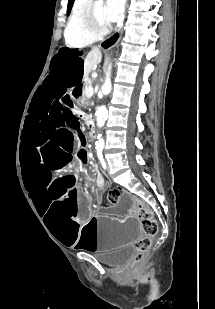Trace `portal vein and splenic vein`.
Wrapping results in <instances>:
<instances>
[{"instance_id":"18ae733b","label":"portal vein and splenic vein","mask_w":215,"mask_h":309,"mask_svg":"<svg viewBox=\"0 0 215 309\" xmlns=\"http://www.w3.org/2000/svg\"><path fill=\"white\" fill-rule=\"evenodd\" d=\"M86 92H88V94H94V88H92V86H90V88H86Z\"/></svg>"}]
</instances>
